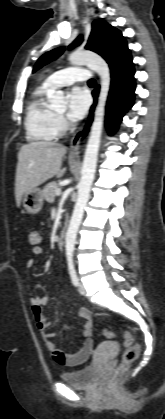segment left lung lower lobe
<instances>
[{"instance_id": "obj_1", "label": "left lung lower lobe", "mask_w": 165, "mask_h": 419, "mask_svg": "<svg viewBox=\"0 0 165 419\" xmlns=\"http://www.w3.org/2000/svg\"><path fill=\"white\" fill-rule=\"evenodd\" d=\"M111 70V88L106 106V125L109 132L114 133L125 112L130 109L134 101L135 79L134 64L130 50H126L113 64ZM99 93V86L93 91L95 103L91 107L89 120L84 130L86 134L92 122L93 111Z\"/></svg>"}]
</instances>
